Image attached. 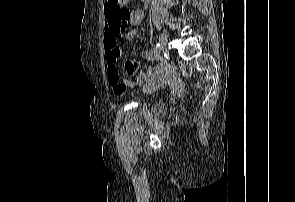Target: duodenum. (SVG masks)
<instances>
[{"label":"duodenum","instance_id":"obj_1","mask_svg":"<svg viewBox=\"0 0 295 202\" xmlns=\"http://www.w3.org/2000/svg\"><path fill=\"white\" fill-rule=\"evenodd\" d=\"M144 3H148L150 0H142Z\"/></svg>","mask_w":295,"mask_h":202}]
</instances>
